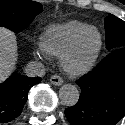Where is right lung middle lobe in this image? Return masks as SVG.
Listing matches in <instances>:
<instances>
[{
    "instance_id": "obj_1",
    "label": "right lung middle lobe",
    "mask_w": 125,
    "mask_h": 125,
    "mask_svg": "<svg viewBox=\"0 0 125 125\" xmlns=\"http://www.w3.org/2000/svg\"><path fill=\"white\" fill-rule=\"evenodd\" d=\"M42 11L43 6L35 1L0 0V26L18 33Z\"/></svg>"
}]
</instances>
